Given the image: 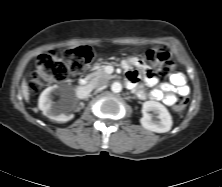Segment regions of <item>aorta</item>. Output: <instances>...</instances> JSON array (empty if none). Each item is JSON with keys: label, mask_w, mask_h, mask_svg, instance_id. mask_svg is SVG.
Wrapping results in <instances>:
<instances>
[{"label": "aorta", "mask_w": 222, "mask_h": 187, "mask_svg": "<svg viewBox=\"0 0 222 187\" xmlns=\"http://www.w3.org/2000/svg\"><path fill=\"white\" fill-rule=\"evenodd\" d=\"M111 90H112V92H114V93H119V92H121V90H122V85H121V83H119V82H114V83L111 85Z\"/></svg>", "instance_id": "obj_1"}]
</instances>
